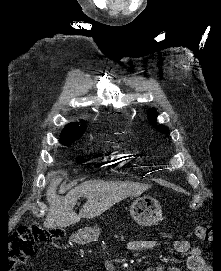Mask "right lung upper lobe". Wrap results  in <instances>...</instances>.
<instances>
[{
  "mask_svg": "<svg viewBox=\"0 0 221 271\" xmlns=\"http://www.w3.org/2000/svg\"><path fill=\"white\" fill-rule=\"evenodd\" d=\"M85 130L86 125L84 122H81L80 126H78V123H70L64 128L60 140L75 141L83 135Z\"/></svg>",
  "mask_w": 221,
  "mask_h": 271,
  "instance_id": "obj_1",
  "label": "right lung upper lobe"
}]
</instances>
